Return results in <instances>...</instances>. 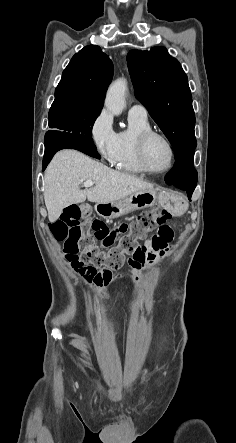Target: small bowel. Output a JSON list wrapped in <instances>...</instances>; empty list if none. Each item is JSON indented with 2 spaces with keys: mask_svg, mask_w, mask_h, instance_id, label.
<instances>
[{
  "mask_svg": "<svg viewBox=\"0 0 236 443\" xmlns=\"http://www.w3.org/2000/svg\"><path fill=\"white\" fill-rule=\"evenodd\" d=\"M167 242L168 240L163 239L158 232L151 239H148L144 245L140 246L148 250V256L143 263L153 264L157 262L159 257L164 255L165 250L167 248ZM129 261H131V259ZM71 268L83 279V281L86 283V285L90 290L97 291L100 295L103 296H109L111 294L110 290L108 289V286L113 282L114 279L112 278V280L106 284L101 283L96 279L98 273L101 272L102 270L97 272V270L91 267H85L79 269L71 266ZM139 279H140V270H136L133 273V277L130 279L134 283L136 289L139 288L138 285Z\"/></svg>",
  "mask_w": 236,
  "mask_h": 443,
  "instance_id": "small-bowel-1",
  "label": "small bowel"
}]
</instances>
